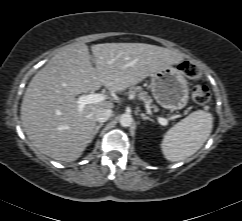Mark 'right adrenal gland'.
Listing matches in <instances>:
<instances>
[{"instance_id": "1", "label": "right adrenal gland", "mask_w": 242, "mask_h": 221, "mask_svg": "<svg viewBox=\"0 0 242 221\" xmlns=\"http://www.w3.org/2000/svg\"><path fill=\"white\" fill-rule=\"evenodd\" d=\"M102 126H103V123H100V124L96 125L95 132H94V136L97 135L99 129H100Z\"/></svg>"}]
</instances>
